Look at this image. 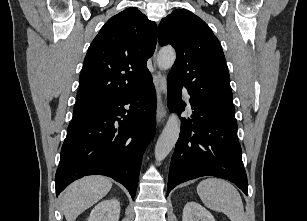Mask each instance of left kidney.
Segmentation results:
<instances>
[{
	"mask_svg": "<svg viewBox=\"0 0 307 221\" xmlns=\"http://www.w3.org/2000/svg\"><path fill=\"white\" fill-rule=\"evenodd\" d=\"M182 221H215V219L206 208L191 201L183 209Z\"/></svg>",
	"mask_w": 307,
	"mask_h": 221,
	"instance_id": "1",
	"label": "left kidney"
}]
</instances>
